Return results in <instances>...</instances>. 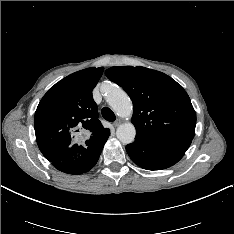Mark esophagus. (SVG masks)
Instances as JSON below:
<instances>
[{"label": "esophagus", "instance_id": "34e87169", "mask_svg": "<svg viewBox=\"0 0 234 234\" xmlns=\"http://www.w3.org/2000/svg\"><path fill=\"white\" fill-rule=\"evenodd\" d=\"M121 120L120 119H116L114 122H113V125L114 127H118L120 124H121Z\"/></svg>", "mask_w": 234, "mask_h": 234}]
</instances>
